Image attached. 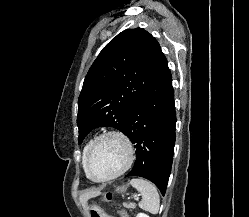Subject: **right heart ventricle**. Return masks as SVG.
Returning <instances> with one entry per match:
<instances>
[{
  "mask_svg": "<svg viewBox=\"0 0 249 217\" xmlns=\"http://www.w3.org/2000/svg\"><path fill=\"white\" fill-rule=\"evenodd\" d=\"M90 143H91V141H88V142L85 144L84 148H83V152H82V166H83V168H84V159H85V155H86V152H87V150H88V147H89ZM84 170H85V169H84Z\"/></svg>",
  "mask_w": 249,
  "mask_h": 217,
  "instance_id": "right-heart-ventricle-1",
  "label": "right heart ventricle"
}]
</instances>
